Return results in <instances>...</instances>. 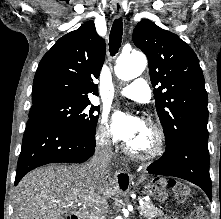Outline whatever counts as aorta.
I'll return each instance as SVG.
<instances>
[{"instance_id":"obj_1","label":"aorta","mask_w":221,"mask_h":219,"mask_svg":"<svg viewBox=\"0 0 221 219\" xmlns=\"http://www.w3.org/2000/svg\"><path fill=\"white\" fill-rule=\"evenodd\" d=\"M146 65V57L141 53L122 54L117 58L114 70L118 78L130 80L140 76Z\"/></svg>"}]
</instances>
